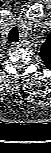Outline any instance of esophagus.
I'll return each instance as SVG.
<instances>
[{"instance_id": "obj_1", "label": "esophagus", "mask_w": 51, "mask_h": 153, "mask_svg": "<svg viewBox=\"0 0 51 153\" xmlns=\"http://www.w3.org/2000/svg\"><path fill=\"white\" fill-rule=\"evenodd\" d=\"M19 46H20L19 43H13V45H12L13 48H18Z\"/></svg>"}]
</instances>
